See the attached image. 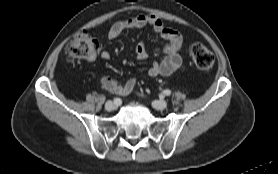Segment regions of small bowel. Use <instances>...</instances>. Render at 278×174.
<instances>
[{"mask_svg": "<svg viewBox=\"0 0 278 174\" xmlns=\"http://www.w3.org/2000/svg\"><path fill=\"white\" fill-rule=\"evenodd\" d=\"M146 26L152 27L155 33H157L165 42L164 46V59L159 63H154L148 69V75L150 77L157 76H169L177 71L182 65L181 50L183 48V37L175 29L166 26L161 19L155 15H138L133 18L123 19L115 22L109 29L108 38L115 39L123 31L127 29H139ZM94 54L89 58L90 61L96 59ZM135 57L137 60H145L148 57V52L143 42H139L135 49ZM100 58L103 60L110 59V53L108 51H102ZM100 85L103 89L120 95L125 96L130 94L137 85L136 78H130L126 82L122 83L116 79L110 77H102L100 79Z\"/></svg>", "mask_w": 278, "mask_h": 174, "instance_id": "small-bowel-1", "label": "small bowel"}]
</instances>
